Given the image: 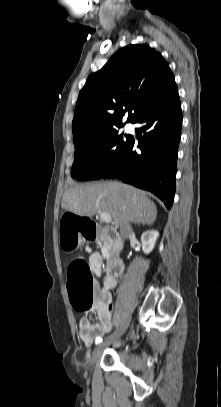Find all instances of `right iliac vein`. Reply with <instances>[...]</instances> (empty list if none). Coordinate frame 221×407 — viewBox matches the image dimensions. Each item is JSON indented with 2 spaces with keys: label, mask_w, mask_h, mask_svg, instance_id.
Wrapping results in <instances>:
<instances>
[{
  "label": "right iliac vein",
  "mask_w": 221,
  "mask_h": 407,
  "mask_svg": "<svg viewBox=\"0 0 221 407\" xmlns=\"http://www.w3.org/2000/svg\"><path fill=\"white\" fill-rule=\"evenodd\" d=\"M129 322H130V316L125 318L121 327L117 331H115L112 335H110L108 338H106L103 343L99 344L95 348V350L92 354V357H91V366H93L97 362V360L101 356L102 351L104 350L105 347H107L110 344H112L113 342H115L118 337H120L121 335H123L125 333V331L127 330L128 326H129Z\"/></svg>",
  "instance_id": "1"
}]
</instances>
